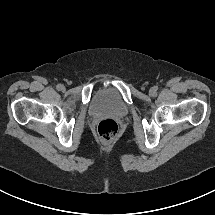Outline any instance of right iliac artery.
Masks as SVG:
<instances>
[{"label":"right iliac artery","instance_id":"82829eb1","mask_svg":"<svg viewBox=\"0 0 215 215\" xmlns=\"http://www.w3.org/2000/svg\"><path fill=\"white\" fill-rule=\"evenodd\" d=\"M61 86H62L61 84H58L57 87H56L57 90H60Z\"/></svg>","mask_w":215,"mask_h":215}]
</instances>
